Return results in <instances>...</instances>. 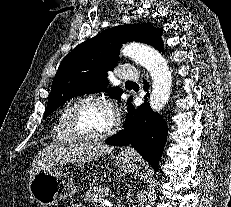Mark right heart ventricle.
Instances as JSON below:
<instances>
[{"label":"right heart ventricle","mask_w":231,"mask_h":207,"mask_svg":"<svg viewBox=\"0 0 231 207\" xmlns=\"http://www.w3.org/2000/svg\"><path fill=\"white\" fill-rule=\"evenodd\" d=\"M68 108L69 105L60 110L53 127L54 138L61 143H71L76 141V138L69 132L66 124V112Z\"/></svg>","instance_id":"obj_1"}]
</instances>
